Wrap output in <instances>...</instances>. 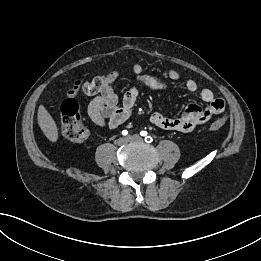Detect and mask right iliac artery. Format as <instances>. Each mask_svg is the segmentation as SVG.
I'll use <instances>...</instances> for the list:
<instances>
[{"label": "right iliac artery", "mask_w": 261, "mask_h": 261, "mask_svg": "<svg viewBox=\"0 0 261 261\" xmlns=\"http://www.w3.org/2000/svg\"><path fill=\"white\" fill-rule=\"evenodd\" d=\"M128 134V131L127 130H123L122 131V135L126 136Z\"/></svg>", "instance_id": "1"}]
</instances>
